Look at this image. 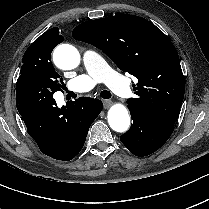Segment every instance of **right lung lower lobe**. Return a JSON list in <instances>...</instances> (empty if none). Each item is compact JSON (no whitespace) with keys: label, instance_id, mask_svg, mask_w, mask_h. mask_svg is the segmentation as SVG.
I'll list each match as a JSON object with an SVG mask.
<instances>
[{"label":"right lung lower lobe","instance_id":"1","mask_svg":"<svg viewBox=\"0 0 209 209\" xmlns=\"http://www.w3.org/2000/svg\"><path fill=\"white\" fill-rule=\"evenodd\" d=\"M16 106L27 132L42 153L69 161L82 149L89 127L100 114V100L81 97L58 108L53 94L28 81L17 80Z\"/></svg>","mask_w":209,"mask_h":209}]
</instances>
